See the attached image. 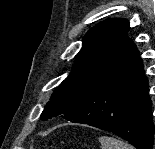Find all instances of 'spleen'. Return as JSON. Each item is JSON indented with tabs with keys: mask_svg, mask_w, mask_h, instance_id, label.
Returning a JSON list of instances; mask_svg holds the SVG:
<instances>
[{
	"mask_svg": "<svg viewBox=\"0 0 155 149\" xmlns=\"http://www.w3.org/2000/svg\"><path fill=\"white\" fill-rule=\"evenodd\" d=\"M98 140L101 144L100 149H135L132 145L113 137L101 136Z\"/></svg>",
	"mask_w": 155,
	"mask_h": 149,
	"instance_id": "1",
	"label": "spleen"
}]
</instances>
